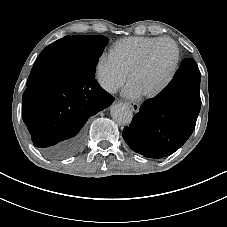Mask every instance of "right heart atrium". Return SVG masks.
Instances as JSON below:
<instances>
[{"instance_id":"obj_1","label":"right heart atrium","mask_w":227,"mask_h":227,"mask_svg":"<svg viewBox=\"0 0 227 227\" xmlns=\"http://www.w3.org/2000/svg\"><path fill=\"white\" fill-rule=\"evenodd\" d=\"M95 79L103 91L114 94L125 83L127 74L110 55L102 54L95 66Z\"/></svg>"}]
</instances>
